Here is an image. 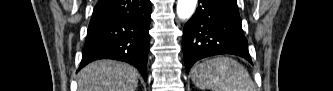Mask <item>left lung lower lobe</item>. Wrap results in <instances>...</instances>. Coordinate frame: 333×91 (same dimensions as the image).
Listing matches in <instances>:
<instances>
[{"instance_id":"1","label":"left lung lower lobe","mask_w":333,"mask_h":91,"mask_svg":"<svg viewBox=\"0 0 333 91\" xmlns=\"http://www.w3.org/2000/svg\"><path fill=\"white\" fill-rule=\"evenodd\" d=\"M199 3L183 32L186 71L196 61L218 54H234L251 62L236 0H200Z\"/></svg>"}]
</instances>
